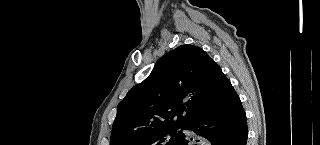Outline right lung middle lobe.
I'll list each match as a JSON object with an SVG mask.
<instances>
[{"instance_id":"dd1d6c3e","label":"right lung middle lobe","mask_w":320,"mask_h":145,"mask_svg":"<svg viewBox=\"0 0 320 145\" xmlns=\"http://www.w3.org/2000/svg\"><path fill=\"white\" fill-rule=\"evenodd\" d=\"M183 127H169L154 131L132 145H178L183 138V133L177 130Z\"/></svg>"}]
</instances>
